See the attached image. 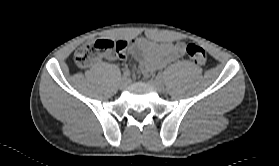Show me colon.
<instances>
[{
	"instance_id": "obj_1",
	"label": "colon",
	"mask_w": 279,
	"mask_h": 166,
	"mask_svg": "<svg viewBox=\"0 0 279 166\" xmlns=\"http://www.w3.org/2000/svg\"><path fill=\"white\" fill-rule=\"evenodd\" d=\"M127 48V42L123 40L92 39L81 46L75 52V62L79 67H88L94 64L100 57L113 53H122ZM188 57L197 65L206 63V51L197 44H189L186 47Z\"/></svg>"
}]
</instances>
